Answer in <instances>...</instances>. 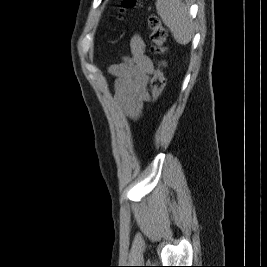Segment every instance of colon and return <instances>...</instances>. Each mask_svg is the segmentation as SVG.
<instances>
[{"label": "colon", "instance_id": "colon-1", "mask_svg": "<svg viewBox=\"0 0 267 267\" xmlns=\"http://www.w3.org/2000/svg\"><path fill=\"white\" fill-rule=\"evenodd\" d=\"M138 4V0H123L122 11L125 9L133 8ZM151 40V53L158 57L156 61V71L151 80V91L154 100H159L166 85V77L164 68L166 61L162 58L166 52L167 31L162 24V21L156 15H151L148 20Z\"/></svg>", "mask_w": 267, "mask_h": 267}]
</instances>
